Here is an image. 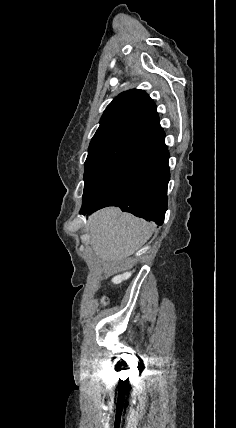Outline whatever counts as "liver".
<instances>
[{"instance_id":"liver-1","label":"liver","mask_w":236,"mask_h":428,"mask_svg":"<svg viewBox=\"0 0 236 428\" xmlns=\"http://www.w3.org/2000/svg\"><path fill=\"white\" fill-rule=\"evenodd\" d=\"M154 224L124 214L119 208H105L89 216L86 230L90 246L103 262H120L140 250L154 232Z\"/></svg>"}]
</instances>
